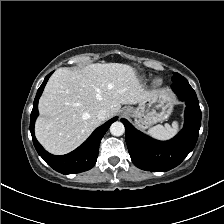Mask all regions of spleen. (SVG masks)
<instances>
[{"label": "spleen", "mask_w": 224, "mask_h": 224, "mask_svg": "<svg viewBox=\"0 0 224 224\" xmlns=\"http://www.w3.org/2000/svg\"><path fill=\"white\" fill-rule=\"evenodd\" d=\"M178 131H179V123L178 121H173L171 125L168 123H166L164 126L158 124L150 128L147 131V134L156 139L167 140L176 135Z\"/></svg>", "instance_id": "spleen-1"}]
</instances>
